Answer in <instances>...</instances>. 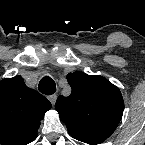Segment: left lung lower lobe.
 <instances>
[{
	"label": "left lung lower lobe",
	"instance_id": "0a47b994",
	"mask_svg": "<svg viewBox=\"0 0 145 145\" xmlns=\"http://www.w3.org/2000/svg\"><path fill=\"white\" fill-rule=\"evenodd\" d=\"M69 133L77 140L95 145L106 140L112 133L110 129H69Z\"/></svg>",
	"mask_w": 145,
	"mask_h": 145
}]
</instances>
